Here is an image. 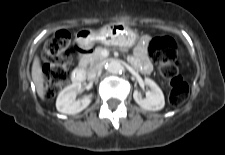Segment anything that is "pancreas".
Segmentation results:
<instances>
[{"instance_id": "cf45deb5", "label": "pancreas", "mask_w": 225, "mask_h": 155, "mask_svg": "<svg viewBox=\"0 0 225 155\" xmlns=\"http://www.w3.org/2000/svg\"><path fill=\"white\" fill-rule=\"evenodd\" d=\"M104 49H106V48H103L101 46L96 47L92 54L81 58V60L79 62V66L86 68L88 65L92 66V65H95L97 63L104 61L105 57L102 56V54H101ZM122 50L124 52L128 51V49H126V48H123Z\"/></svg>"}]
</instances>
